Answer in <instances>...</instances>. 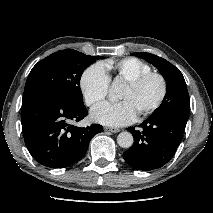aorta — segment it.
Masks as SVG:
<instances>
[{
	"mask_svg": "<svg viewBox=\"0 0 213 213\" xmlns=\"http://www.w3.org/2000/svg\"><path fill=\"white\" fill-rule=\"evenodd\" d=\"M120 90V83L118 81H114L109 89V96L111 99H115L118 96ZM134 138L132 134L128 131L121 132L117 136V143L122 148H129L133 145Z\"/></svg>",
	"mask_w": 213,
	"mask_h": 213,
	"instance_id": "aorta-1",
	"label": "aorta"
}]
</instances>
